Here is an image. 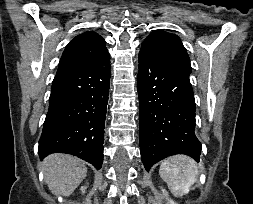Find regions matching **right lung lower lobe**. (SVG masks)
I'll use <instances>...</instances> for the list:
<instances>
[{
    "label": "right lung lower lobe",
    "instance_id": "obj_1",
    "mask_svg": "<svg viewBox=\"0 0 253 204\" xmlns=\"http://www.w3.org/2000/svg\"><path fill=\"white\" fill-rule=\"evenodd\" d=\"M109 83L108 52L55 76L39 140L41 159L61 152L101 168Z\"/></svg>",
    "mask_w": 253,
    "mask_h": 204
}]
</instances>
